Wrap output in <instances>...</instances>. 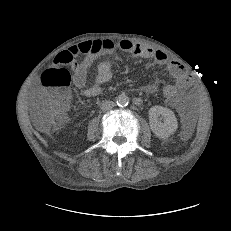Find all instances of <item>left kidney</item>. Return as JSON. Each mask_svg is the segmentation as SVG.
<instances>
[{
  "instance_id": "left-kidney-1",
  "label": "left kidney",
  "mask_w": 231,
  "mask_h": 231,
  "mask_svg": "<svg viewBox=\"0 0 231 231\" xmlns=\"http://www.w3.org/2000/svg\"><path fill=\"white\" fill-rule=\"evenodd\" d=\"M160 116H162L163 122L159 120ZM149 124L152 132L162 139L174 134L178 127V122L173 111L162 106H153L150 108Z\"/></svg>"
}]
</instances>
